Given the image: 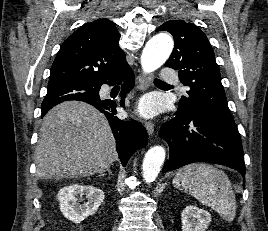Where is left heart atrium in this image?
Returning a JSON list of instances; mask_svg holds the SVG:
<instances>
[{"label": "left heart atrium", "instance_id": "1", "mask_svg": "<svg viewBox=\"0 0 268 231\" xmlns=\"http://www.w3.org/2000/svg\"><path fill=\"white\" fill-rule=\"evenodd\" d=\"M157 111V108L151 98L143 99L138 105V112L144 117H151Z\"/></svg>", "mask_w": 268, "mask_h": 231}]
</instances>
